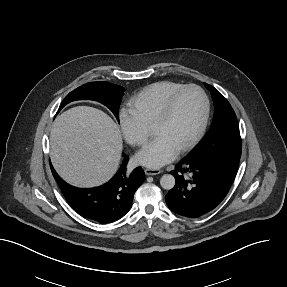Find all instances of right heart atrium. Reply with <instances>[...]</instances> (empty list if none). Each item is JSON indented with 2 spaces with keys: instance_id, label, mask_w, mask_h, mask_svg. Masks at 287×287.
Instances as JSON below:
<instances>
[{
  "instance_id": "obj_1",
  "label": "right heart atrium",
  "mask_w": 287,
  "mask_h": 287,
  "mask_svg": "<svg viewBox=\"0 0 287 287\" xmlns=\"http://www.w3.org/2000/svg\"><path fill=\"white\" fill-rule=\"evenodd\" d=\"M119 124L125 140L133 146L143 145L150 135V128L130 108L120 110Z\"/></svg>"
}]
</instances>
